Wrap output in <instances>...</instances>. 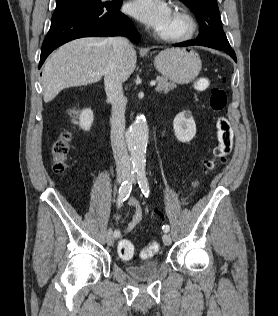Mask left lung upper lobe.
<instances>
[{
    "label": "left lung upper lobe",
    "mask_w": 278,
    "mask_h": 316,
    "mask_svg": "<svg viewBox=\"0 0 278 316\" xmlns=\"http://www.w3.org/2000/svg\"><path fill=\"white\" fill-rule=\"evenodd\" d=\"M196 16L200 24V34L196 41L200 44L225 52H234L222 28L217 0H181Z\"/></svg>",
    "instance_id": "obj_1"
}]
</instances>
